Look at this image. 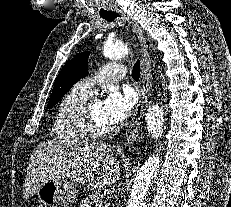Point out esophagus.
I'll list each match as a JSON object with an SVG mask.
<instances>
[{"label":"esophagus","instance_id":"1","mask_svg":"<svg viewBox=\"0 0 231 207\" xmlns=\"http://www.w3.org/2000/svg\"><path fill=\"white\" fill-rule=\"evenodd\" d=\"M120 14L124 16L130 24H132V27L135 33L137 34L141 45L142 64H141L140 100L133 113V117L130 122L128 133L126 135V142H125V146L131 149L142 130L141 124L144 116L145 103L147 99L146 95L148 94L152 85L151 58L148 53V45H147V40L144 31L141 29L138 23L134 22L129 16H125L122 12H120Z\"/></svg>","mask_w":231,"mask_h":207}]
</instances>
